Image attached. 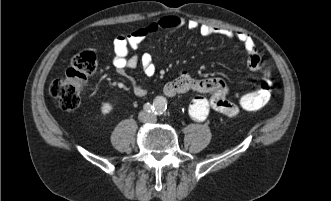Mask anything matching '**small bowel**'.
<instances>
[{"label":"small bowel","instance_id":"small-bowel-1","mask_svg":"<svg viewBox=\"0 0 331 201\" xmlns=\"http://www.w3.org/2000/svg\"><path fill=\"white\" fill-rule=\"evenodd\" d=\"M181 26L195 30L203 37L220 35L227 39L237 40L245 48L249 69L254 72H262L266 68V63L260 56L253 39L248 34L200 24L193 20L186 21L175 15L162 17L158 21L138 28L131 33L117 35L113 41V66L119 74L125 75L127 70L135 69L141 64L147 76L154 75L156 67L152 56L149 53L138 56L131 54V52L136 50L148 37L161 31L171 32ZM131 90L138 97H143L147 93L146 89L135 81H131ZM163 91L168 97L190 91L199 93V95L192 99L188 107L190 117L198 122L204 121L211 111H216L227 116H235L241 109L237 102L227 98L229 88L221 78L195 79L188 73L182 72L175 80L168 82L164 86ZM207 94L209 97L206 96Z\"/></svg>","mask_w":331,"mask_h":201}]
</instances>
